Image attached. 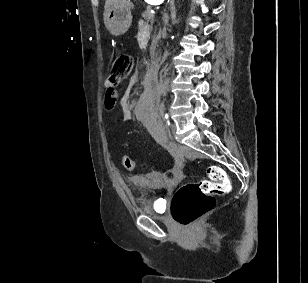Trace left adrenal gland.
<instances>
[{"label":"left adrenal gland","instance_id":"left-adrenal-gland-1","mask_svg":"<svg viewBox=\"0 0 308 283\" xmlns=\"http://www.w3.org/2000/svg\"><path fill=\"white\" fill-rule=\"evenodd\" d=\"M173 3H174V1H173V0H171V1H170V4H171V5H173Z\"/></svg>","mask_w":308,"mask_h":283}]
</instances>
